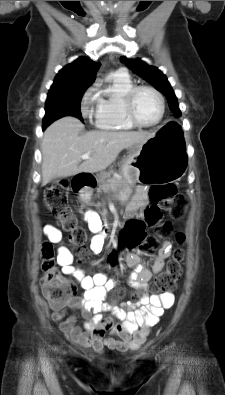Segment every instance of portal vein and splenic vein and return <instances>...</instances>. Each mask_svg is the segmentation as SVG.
<instances>
[{
    "label": "portal vein and splenic vein",
    "instance_id": "18ae733b",
    "mask_svg": "<svg viewBox=\"0 0 225 395\" xmlns=\"http://www.w3.org/2000/svg\"><path fill=\"white\" fill-rule=\"evenodd\" d=\"M90 157H91V152L85 153V154H83V155L81 156V158H82L83 160H85V159H90Z\"/></svg>",
    "mask_w": 225,
    "mask_h": 395
}]
</instances>
